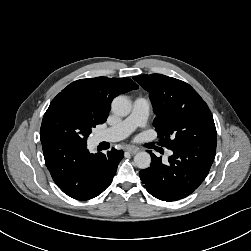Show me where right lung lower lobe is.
<instances>
[{
  "label": "right lung lower lobe",
  "mask_w": 251,
  "mask_h": 251,
  "mask_svg": "<svg viewBox=\"0 0 251 251\" xmlns=\"http://www.w3.org/2000/svg\"><path fill=\"white\" fill-rule=\"evenodd\" d=\"M45 164L57 186L77 200H89L102 193L112 182L122 150L107 154L89 153L87 145L65 140L42 141Z\"/></svg>",
  "instance_id": "obj_1"
}]
</instances>
